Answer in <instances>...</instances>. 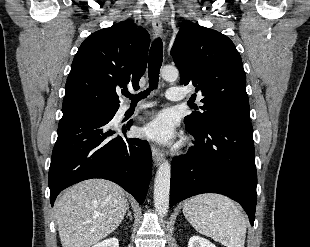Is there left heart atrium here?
Listing matches in <instances>:
<instances>
[{"mask_svg":"<svg viewBox=\"0 0 310 247\" xmlns=\"http://www.w3.org/2000/svg\"><path fill=\"white\" fill-rule=\"evenodd\" d=\"M142 133L145 137L159 144H171L176 137L173 116L167 111L158 113L143 128Z\"/></svg>","mask_w":310,"mask_h":247,"instance_id":"left-heart-atrium-1","label":"left heart atrium"}]
</instances>
